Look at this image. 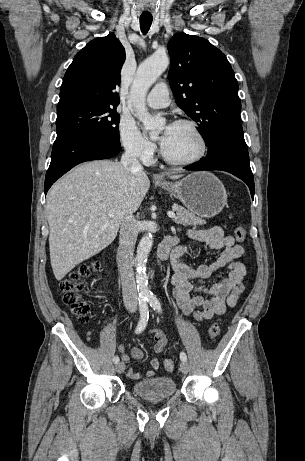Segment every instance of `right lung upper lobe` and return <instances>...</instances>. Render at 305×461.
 Returning <instances> with one entry per match:
<instances>
[{"label":"right lung upper lobe","instance_id":"cb5924a9","mask_svg":"<svg viewBox=\"0 0 305 461\" xmlns=\"http://www.w3.org/2000/svg\"><path fill=\"white\" fill-rule=\"evenodd\" d=\"M125 49L114 34L90 41L74 57L61 85L58 107L89 102L118 106Z\"/></svg>","mask_w":305,"mask_h":461}]
</instances>
